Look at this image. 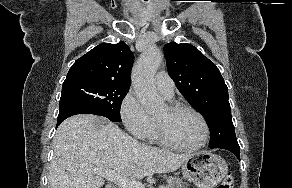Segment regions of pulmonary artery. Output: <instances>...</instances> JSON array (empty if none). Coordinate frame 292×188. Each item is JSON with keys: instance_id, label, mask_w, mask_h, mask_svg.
<instances>
[{"instance_id": "obj_1", "label": "pulmonary artery", "mask_w": 292, "mask_h": 188, "mask_svg": "<svg viewBox=\"0 0 292 188\" xmlns=\"http://www.w3.org/2000/svg\"><path fill=\"white\" fill-rule=\"evenodd\" d=\"M155 85L158 91L167 99L174 95V81L166 72H159L155 76Z\"/></svg>"}]
</instances>
